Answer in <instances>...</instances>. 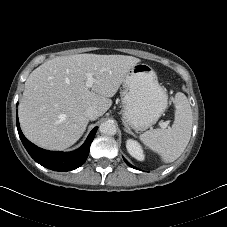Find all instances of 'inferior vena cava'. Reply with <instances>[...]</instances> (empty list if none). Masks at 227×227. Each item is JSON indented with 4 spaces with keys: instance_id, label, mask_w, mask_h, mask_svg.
I'll return each instance as SVG.
<instances>
[{
    "instance_id": "602c4592",
    "label": "inferior vena cava",
    "mask_w": 227,
    "mask_h": 227,
    "mask_svg": "<svg viewBox=\"0 0 227 227\" xmlns=\"http://www.w3.org/2000/svg\"><path fill=\"white\" fill-rule=\"evenodd\" d=\"M85 116L90 120H95L100 116V114L96 108L89 107L85 111Z\"/></svg>"
}]
</instances>
